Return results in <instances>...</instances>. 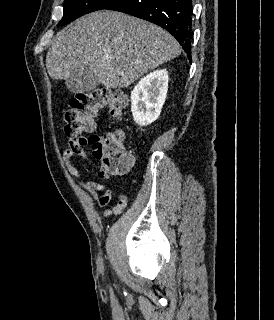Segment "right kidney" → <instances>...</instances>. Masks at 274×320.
<instances>
[{"mask_svg": "<svg viewBox=\"0 0 274 320\" xmlns=\"http://www.w3.org/2000/svg\"><path fill=\"white\" fill-rule=\"evenodd\" d=\"M167 70H154L141 78L131 92V112L135 124L149 126L157 120L168 90Z\"/></svg>", "mask_w": 274, "mask_h": 320, "instance_id": "right-kidney-1", "label": "right kidney"}]
</instances>
